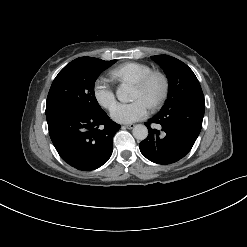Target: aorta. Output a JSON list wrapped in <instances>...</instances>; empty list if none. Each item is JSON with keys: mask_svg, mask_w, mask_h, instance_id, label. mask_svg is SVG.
I'll return each mask as SVG.
<instances>
[{"mask_svg": "<svg viewBox=\"0 0 247 247\" xmlns=\"http://www.w3.org/2000/svg\"><path fill=\"white\" fill-rule=\"evenodd\" d=\"M133 88L127 83H122L116 91V96L121 102H128L131 100ZM133 136L137 140H144L148 136V129L145 125L138 124L133 128Z\"/></svg>", "mask_w": 247, "mask_h": 247, "instance_id": "aorta-1", "label": "aorta"}]
</instances>
